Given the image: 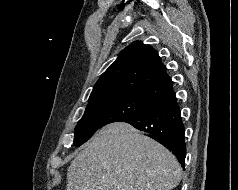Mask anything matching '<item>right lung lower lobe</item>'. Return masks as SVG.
<instances>
[{
    "label": "right lung lower lobe",
    "mask_w": 238,
    "mask_h": 190,
    "mask_svg": "<svg viewBox=\"0 0 238 190\" xmlns=\"http://www.w3.org/2000/svg\"><path fill=\"white\" fill-rule=\"evenodd\" d=\"M136 129L150 136L172 151L182 167L185 166V128L173 90L143 112L125 119Z\"/></svg>",
    "instance_id": "1"
}]
</instances>
